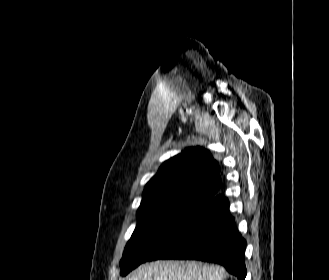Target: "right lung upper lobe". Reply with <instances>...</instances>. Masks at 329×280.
I'll return each mask as SVG.
<instances>
[{
  "instance_id": "1",
  "label": "right lung upper lobe",
  "mask_w": 329,
  "mask_h": 280,
  "mask_svg": "<svg viewBox=\"0 0 329 280\" xmlns=\"http://www.w3.org/2000/svg\"><path fill=\"white\" fill-rule=\"evenodd\" d=\"M220 187L219 168L209 151L191 147L164 162L147 183L138 213L157 201L189 197L210 200Z\"/></svg>"
}]
</instances>
